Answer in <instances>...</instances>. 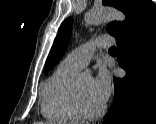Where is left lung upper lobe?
I'll use <instances>...</instances> for the list:
<instances>
[{
    "mask_svg": "<svg viewBox=\"0 0 156 124\" xmlns=\"http://www.w3.org/2000/svg\"><path fill=\"white\" fill-rule=\"evenodd\" d=\"M147 0H102L104 5L113 6L121 10L126 15L124 23L112 22L108 24L107 31L112 36H117L125 31L135 20L137 14L142 9ZM73 19H66L58 30V34L54 40V44L46 60L44 72H48L63 56L68 47Z\"/></svg>",
    "mask_w": 156,
    "mask_h": 124,
    "instance_id": "1",
    "label": "left lung upper lobe"
}]
</instances>
